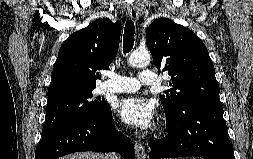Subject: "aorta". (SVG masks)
<instances>
[{"instance_id":"1","label":"aorta","mask_w":253,"mask_h":159,"mask_svg":"<svg viewBox=\"0 0 253 159\" xmlns=\"http://www.w3.org/2000/svg\"><path fill=\"white\" fill-rule=\"evenodd\" d=\"M151 56L146 50H136L131 53L128 62L133 67H143L149 64Z\"/></svg>"}]
</instances>
